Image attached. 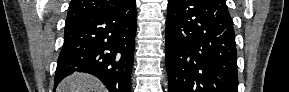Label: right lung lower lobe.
<instances>
[{"label": "right lung lower lobe", "instance_id": "98d812e1", "mask_svg": "<svg viewBox=\"0 0 289 92\" xmlns=\"http://www.w3.org/2000/svg\"><path fill=\"white\" fill-rule=\"evenodd\" d=\"M135 34V0L66 23L54 87L73 72H85L109 92H130Z\"/></svg>", "mask_w": 289, "mask_h": 92}]
</instances>
